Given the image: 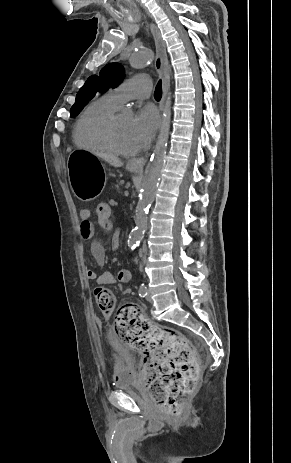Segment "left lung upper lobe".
Returning a JSON list of instances; mask_svg holds the SVG:
<instances>
[{
    "label": "left lung upper lobe",
    "instance_id": "5c2ea615",
    "mask_svg": "<svg viewBox=\"0 0 291 463\" xmlns=\"http://www.w3.org/2000/svg\"><path fill=\"white\" fill-rule=\"evenodd\" d=\"M123 74L124 70L120 64L109 63L101 69L99 76H90L78 91L76 101L70 109V116H76L98 92L118 86L123 80Z\"/></svg>",
    "mask_w": 291,
    "mask_h": 463
}]
</instances>
